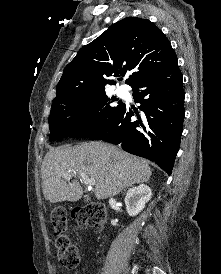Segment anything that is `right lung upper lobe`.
I'll list each match as a JSON object with an SVG mask.
<instances>
[{
    "label": "right lung upper lobe",
    "mask_w": 221,
    "mask_h": 274,
    "mask_svg": "<svg viewBox=\"0 0 221 274\" xmlns=\"http://www.w3.org/2000/svg\"><path fill=\"white\" fill-rule=\"evenodd\" d=\"M177 59L163 32L151 21L126 17L83 46L64 68L53 104L66 98H85L105 93L107 77L130 74L133 87Z\"/></svg>",
    "instance_id": "right-lung-upper-lobe-1"
}]
</instances>
